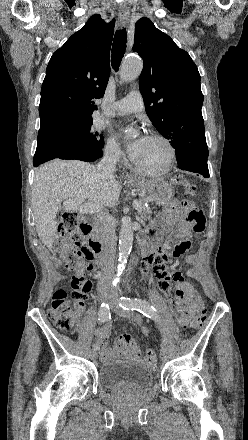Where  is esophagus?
Returning a JSON list of instances; mask_svg holds the SVG:
<instances>
[{
	"label": "esophagus",
	"mask_w": 248,
	"mask_h": 440,
	"mask_svg": "<svg viewBox=\"0 0 248 440\" xmlns=\"http://www.w3.org/2000/svg\"><path fill=\"white\" fill-rule=\"evenodd\" d=\"M119 18L122 23H126L129 20V11H127L125 9L119 10ZM124 178L126 180H132L133 177H132V175L126 173L124 175Z\"/></svg>",
	"instance_id": "esophagus-1"
}]
</instances>
